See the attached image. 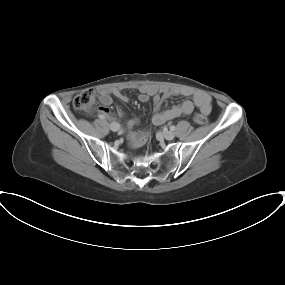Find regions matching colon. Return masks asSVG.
Masks as SVG:
<instances>
[{"label":"colon","instance_id":"5ec220e1","mask_svg":"<svg viewBox=\"0 0 285 285\" xmlns=\"http://www.w3.org/2000/svg\"><path fill=\"white\" fill-rule=\"evenodd\" d=\"M98 96V92L95 90L89 89L83 91L74 98L73 105L77 110L81 112L92 113L97 108ZM194 120L200 125H205L208 123V118L202 113H197L194 116Z\"/></svg>","mask_w":285,"mask_h":285}]
</instances>
